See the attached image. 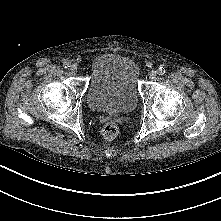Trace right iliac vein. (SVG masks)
Segmentation results:
<instances>
[{"instance_id": "obj_1", "label": "right iliac vein", "mask_w": 221, "mask_h": 221, "mask_svg": "<svg viewBox=\"0 0 221 221\" xmlns=\"http://www.w3.org/2000/svg\"><path fill=\"white\" fill-rule=\"evenodd\" d=\"M69 69H70V71H71L72 73H76L77 70H78V68H77V66H76L75 64H72Z\"/></svg>"}]
</instances>
